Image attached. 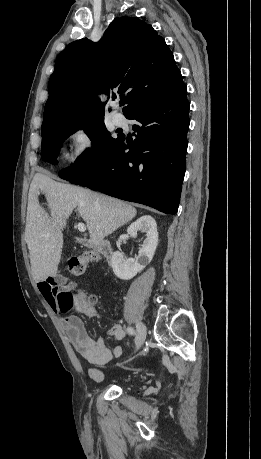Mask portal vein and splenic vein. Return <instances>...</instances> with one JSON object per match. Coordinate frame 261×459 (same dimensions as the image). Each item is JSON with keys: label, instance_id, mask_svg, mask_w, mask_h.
Listing matches in <instances>:
<instances>
[{"label": "portal vein and splenic vein", "instance_id": "portal-vein-and-splenic-vein-1", "mask_svg": "<svg viewBox=\"0 0 261 459\" xmlns=\"http://www.w3.org/2000/svg\"><path fill=\"white\" fill-rule=\"evenodd\" d=\"M76 227L80 232H85L86 231V225L84 223H82V222L77 223Z\"/></svg>", "mask_w": 261, "mask_h": 459}]
</instances>
